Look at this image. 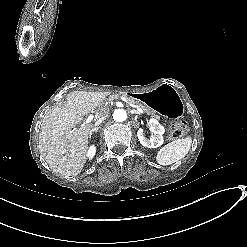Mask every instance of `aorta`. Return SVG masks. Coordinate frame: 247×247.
Wrapping results in <instances>:
<instances>
[{
	"instance_id": "1",
	"label": "aorta",
	"mask_w": 247,
	"mask_h": 247,
	"mask_svg": "<svg viewBox=\"0 0 247 247\" xmlns=\"http://www.w3.org/2000/svg\"><path fill=\"white\" fill-rule=\"evenodd\" d=\"M113 119L117 122H123L127 119V113L124 109H116L113 112Z\"/></svg>"
}]
</instances>
